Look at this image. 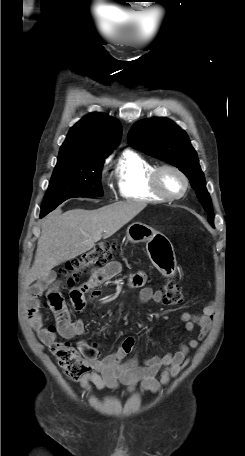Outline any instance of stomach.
Wrapping results in <instances>:
<instances>
[{
	"label": "stomach",
	"instance_id": "obj_1",
	"mask_svg": "<svg viewBox=\"0 0 245 456\" xmlns=\"http://www.w3.org/2000/svg\"><path fill=\"white\" fill-rule=\"evenodd\" d=\"M127 240L133 244L146 242V248L153 265L165 276L175 273L176 257L170 241L152 227L132 223L126 231Z\"/></svg>",
	"mask_w": 245,
	"mask_h": 456
}]
</instances>
